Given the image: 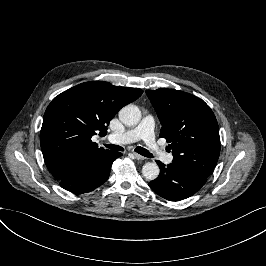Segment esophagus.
Returning <instances> with one entry per match:
<instances>
[{
  "label": "esophagus",
  "mask_w": 266,
  "mask_h": 266,
  "mask_svg": "<svg viewBox=\"0 0 266 266\" xmlns=\"http://www.w3.org/2000/svg\"><path fill=\"white\" fill-rule=\"evenodd\" d=\"M133 155H134L135 159H137V160H144L145 159L142 155H140L136 152H133Z\"/></svg>",
  "instance_id": "esophagus-1"
}]
</instances>
